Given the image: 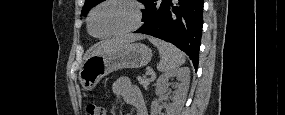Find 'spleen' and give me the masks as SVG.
<instances>
[{
	"label": "spleen",
	"instance_id": "3e777b00",
	"mask_svg": "<svg viewBox=\"0 0 285 115\" xmlns=\"http://www.w3.org/2000/svg\"><path fill=\"white\" fill-rule=\"evenodd\" d=\"M149 41L158 48L160 54V62L157 69L160 72H170L185 63V56L174 45L163 40L150 37Z\"/></svg>",
	"mask_w": 285,
	"mask_h": 115
}]
</instances>
